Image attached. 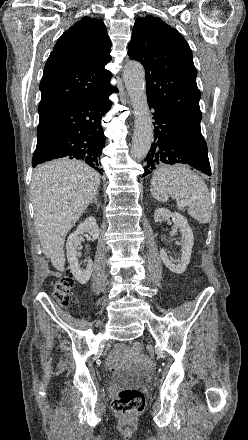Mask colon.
I'll use <instances>...</instances> for the list:
<instances>
[{
    "mask_svg": "<svg viewBox=\"0 0 248 440\" xmlns=\"http://www.w3.org/2000/svg\"><path fill=\"white\" fill-rule=\"evenodd\" d=\"M74 287V279L72 275L68 274L58 280L52 285L53 296L57 302L67 307L70 303L71 291ZM125 350L139 353L142 345L139 342H134L126 345ZM145 406V396L142 391L133 388L122 389L118 392L112 403V410L118 417H130L139 414Z\"/></svg>",
    "mask_w": 248,
    "mask_h": 440,
    "instance_id": "5ec220e1",
    "label": "colon"
}]
</instances>
